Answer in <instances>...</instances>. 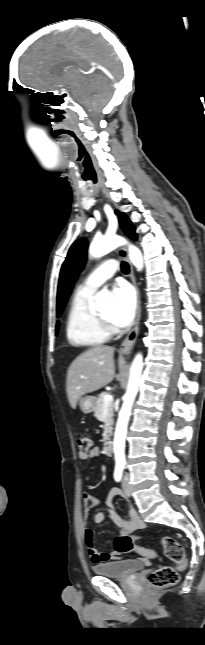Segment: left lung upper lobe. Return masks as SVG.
<instances>
[{"mask_svg":"<svg viewBox=\"0 0 205 645\" xmlns=\"http://www.w3.org/2000/svg\"><path fill=\"white\" fill-rule=\"evenodd\" d=\"M124 233L136 240L135 227L124 213L115 212ZM88 242L85 238L76 240L69 249L68 255L62 265L57 292V316L63 311L74 283L83 269L87 259Z\"/></svg>","mask_w":205,"mask_h":645,"instance_id":"5c2ea615","label":"left lung upper lobe"}]
</instances>
